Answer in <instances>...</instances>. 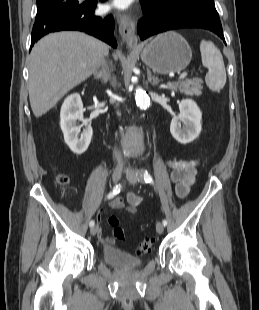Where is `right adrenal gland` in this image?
I'll list each match as a JSON object with an SVG mask.
<instances>
[{
	"label": "right adrenal gland",
	"mask_w": 259,
	"mask_h": 310,
	"mask_svg": "<svg viewBox=\"0 0 259 310\" xmlns=\"http://www.w3.org/2000/svg\"><path fill=\"white\" fill-rule=\"evenodd\" d=\"M95 79H101L102 83L106 84L110 80V73L108 67L103 64L100 70L94 72Z\"/></svg>",
	"instance_id": "2a0ac1e0"
}]
</instances>
